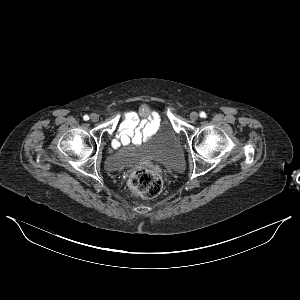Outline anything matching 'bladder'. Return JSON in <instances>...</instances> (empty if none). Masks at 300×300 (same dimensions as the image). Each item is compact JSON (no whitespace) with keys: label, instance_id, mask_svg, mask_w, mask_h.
<instances>
[{"label":"bladder","instance_id":"31cf9c89","mask_svg":"<svg viewBox=\"0 0 300 300\" xmlns=\"http://www.w3.org/2000/svg\"><path fill=\"white\" fill-rule=\"evenodd\" d=\"M128 154L136 153L144 157L159 159L164 165L180 170L177 164L183 162V150L176 132L169 126L162 124L144 142L127 150ZM126 162L122 155L111 156L107 159V168L111 172L121 170Z\"/></svg>","mask_w":300,"mask_h":300}]
</instances>
